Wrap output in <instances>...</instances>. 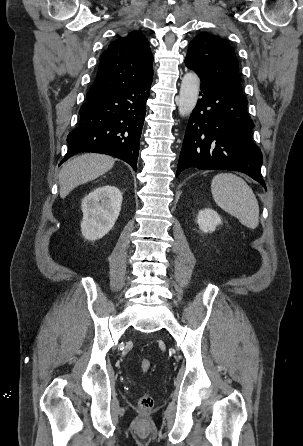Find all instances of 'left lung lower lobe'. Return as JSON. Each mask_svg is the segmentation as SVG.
Wrapping results in <instances>:
<instances>
[{
    "label": "left lung lower lobe",
    "mask_w": 303,
    "mask_h": 446,
    "mask_svg": "<svg viewBox=\"0 0 303 446\" xmlns=\"http://www.w3.org/2000/svg\"><path fill=\"white\" fill-rule=\"evenodd\" d=\"M199 77L201 99L186 128L176 176L190 167L235 170L265 187L262 153L251 138L254 123L247 113V99L220 81Z\"/></svg>",
    "instance_id": "obj_1"
}]
</instances>
